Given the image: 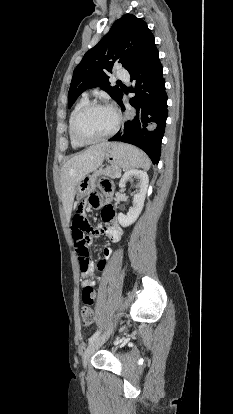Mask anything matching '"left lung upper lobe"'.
I'll return each instance as SVG.
<instances>
[{"mask_svg": "<svg viewBox=\"0 0 233 414\" xmlns=\"http://www.w3.org/2000/svg\"><path fill=\"white\" fill-rule=\"evenodd\" d=\"M156 51L154 36L147 24L134 15L123 16L75 68L68 92L69 108L83 91L93 87H100L118 103L123 93L118 86H110L108 80L114 64L121 63L131 74Z\"/></svg>", "mask_w": 233, "mask_h": 414, "instance_id": "obj_1", "label": "left lung upper lobe"}]
</instances>
